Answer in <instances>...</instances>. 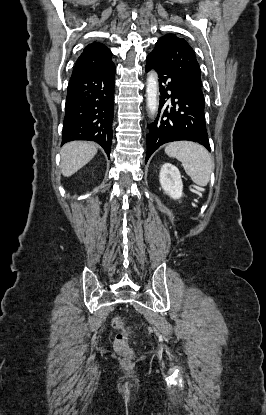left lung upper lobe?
<instances>
[{"mask_svg":"<svg viewBox=\"0 0 266 415\" xmlns=\"http://www.w3.org/2000/svg\"><path fill=\"white\" fill-rule=\"evenodd\" d=\"M150 54L204 106L201 70L195 52L184 39L166 34L157 41Z\"/></svg>","mask_w":266,"mask_h":415,"instance_id":"left-lung-upper-lobe-1","label":"left lung upper lobe"}]
</instances>
